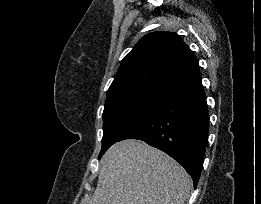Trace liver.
Masks as SVG:
<instances>
[{"label":"liver","mask_w":261,"mask_h":204,"mask_svg":"<svg viewBox=\"0 0 261 204\" xmlns=\"http://www.w3.org/2000/svg\"><path fill=\"white\" fill-rule=\"evenodd\" d=\"M192 179L174 159L142 141L112 145L87 204H184Z\"/></svg>","instance_id":"1"}]
</instances>
